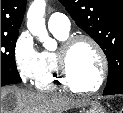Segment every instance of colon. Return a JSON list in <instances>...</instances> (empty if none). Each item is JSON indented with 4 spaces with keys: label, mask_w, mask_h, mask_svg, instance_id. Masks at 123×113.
<instances>
[{
    "label": "colon",
    "mask_w": 123,
    "mask_h": 113,
    "mask_svg": "<svg viewBox=\"0 0 123 113\" xmlns=\"http://www.w3.org/2000/svg\"><path fill=\"white\" fill-rule=\"evenodd\" d=\"M120 113H123V107L120 109Z\"/></svg>",
    "instance_id": "5ec220e1"
}]
</instances>
